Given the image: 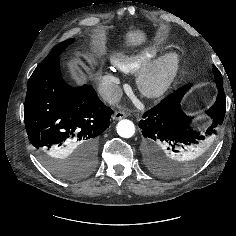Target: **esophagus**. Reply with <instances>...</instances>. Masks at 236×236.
I'll return each mask as SVG.
<instances>
[{
  "label": "esophagus",
  "instance_id": "1",
  "mask_svg": "<svg viewBox=\"0 0 236 236\" xmlns=\"http://www.w3.org/2000/svg\"><path fill=\"white\" fill-rule=\"evenodd\" d=\"M124 117H126V114L123 111H116L112 116L113 120H120Z\"/></svg>",
  "mask_w": 236,
  "mask_h": 236
}]
</instances>
